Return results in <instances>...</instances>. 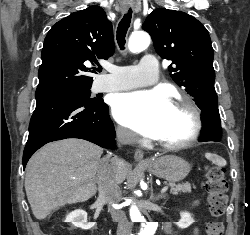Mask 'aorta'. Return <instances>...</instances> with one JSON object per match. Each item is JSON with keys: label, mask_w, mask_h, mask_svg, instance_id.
<instances>
[{"label": "aorta", "mask_w": 250, "mask_h": 235, "mask_svg": "<svg viewBox=\"0 0 250 235\" xmlns=\"http://www.w3.org/2000/svg\"><path fill=\"white\" fill-rule=\"evenodd\" d=\"M150 36L144 32L133 33L129 38L128 47L132 52L145 50L150 45ZM130 218L132 222H141L142 228L138 235H154L156 233L157 222H145L137 206L132 205L130 208Z\"/></svg>", "instance_id": "obj_1"}]
</instances>
